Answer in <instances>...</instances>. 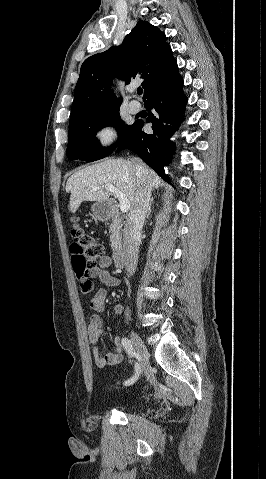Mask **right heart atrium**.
<instances>
[{
    "label": "right heart atrium",
    "mask_w": 266,
    "mask_h": 479,
    "mask_svg": "<svg viewBox=\"0 0 266 479\" xmlns=\"http://www.w3.org/2000/svg\"><path fill=\"white\" fill-rule=\"evenodd\" d=\"M94 138L100 147L108 148L116 143L118 134L114 126L103 125L96 130Z\"/></svg>",
    "instance_id": "d8ad5b80"
}]
</instances>
